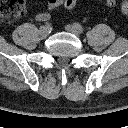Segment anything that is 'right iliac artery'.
Masks as SVG:
<instances>
[{"mask_svg": "<svg viewBox=\"0 0 128 128\" xmlns=\"http://www.w3.org/2000/svg\"><path fill=\"white\" fill-rule=\"evenodd\" d=\"M49 29H51V24L50 23H46V25Z\"/></svg>", "mask_w": 128, "mask_h": 128, "instance_id": "1", "label": "right iliac artery"}]
</instances>
